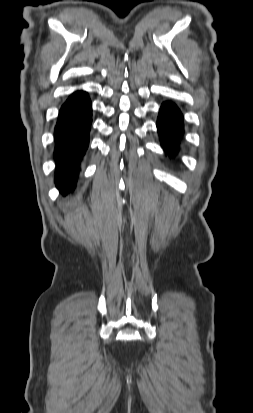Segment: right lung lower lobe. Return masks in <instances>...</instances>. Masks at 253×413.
Masks as SVG:
<instances>
[{"label":"right lung lower lobe","mask_w":253,"mask_h":413,"mask_svg":"<svg viewBox=\"0 0 253 413\" xmlns=\"http://www.w3.org/2000/svg\"><path fill=\"white\" fill-rule=\"evenodd\" d=\"M92 123L91 101L87 93H73L60 109L55 127V183L63 195L74 189L78 164L89 144Z\"/></svg>","instance_id":"obj_1"}]
</instances>
